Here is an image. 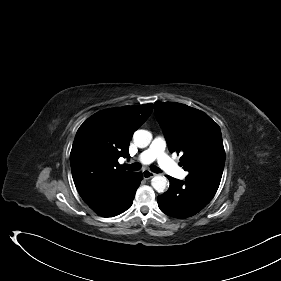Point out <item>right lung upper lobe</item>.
I'll return each mask as SVG.
<instances>
[{"instance_id":"1","label":"right lung upper lobe","mask_w":281,"mask_h":281,"mask_svg":"<svg viewBox=\"0 0 281 281\" xmlns=\"http://www.w3.org/2000/svg\"><path fill=\"white\" fill-rule=\"evenodd\" d=\"M152 104L107 109L89 117L78 129L70 153L75 186L95 212L114 208L123 197L134 172L119 165L129 158V141L147 120Z\"/></svg>"}]
</instances>
